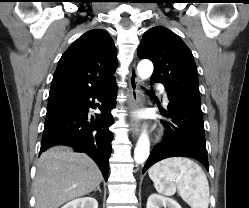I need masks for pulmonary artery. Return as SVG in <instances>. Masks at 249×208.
Here are the masks:
<instances>
[{
    "label": "pulmonary artery",
    "instance_id": "e3ab8cb5",
    "mask_svg": "<svg viewBox=\"0 0 249 208\" xmlns=\"http://www.w3.org/2000/svg\"><path fill=\"white\" fill-rule=\"evenodd\" d=\"M158 89L161 91L162 95H163V102L165 105L168 104V98H167V94L166 92L164 91V89L162 87H158Z\"/></svg>",
    "mask_w": 249,
    "mask_h": 208
}]
</instances>
